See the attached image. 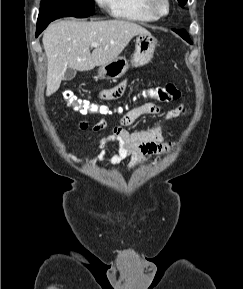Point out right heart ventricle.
<instances>
[{
	"label": "right heart ventricle",
	"instance_id": "1",
	"mask_svg": "<svg viewBox=\"0 0 243 289\" xmlns=\"http://www.w3.org/2000/svg\"><path fill=\"white\" fill-rule=\"evenodd\" d=\"M109 10L115 18L134 22H153L157 18L145 9L143 0H110Z\"/></svg>",
	"mask_w": 243,
	"mask_h": 289
}]
</instances>
